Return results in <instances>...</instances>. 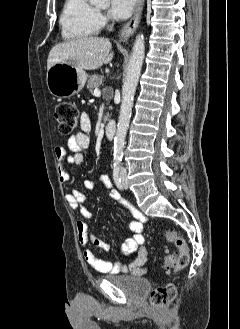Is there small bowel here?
<instances>
[{
  "label": "small bowel",
  "instance_id": "small-bowel-1",
  "mask_svg": "<svg viewBox=\"0 0 240 329\" xmlns=\"http://www.w3.org/2000/svg\"><path fill=\"white\" fill-rule=\"evenodd\" d=\"M91 119L87 113L81 115V130L69 137L67 140V148L70 150L68 155L64 146H56L54 153L58 160V177L61 183H67L69 181V174L65 168L68 164L82 165L85 161L84 151L90 145V133ZM98 181L107 188H112L111 180L107 175H100ZM95 184V180L88 179L84 182V187L87 190H91ZM109 198L121 206L129 209L133 216V220L129 223V229L132 232V236L125 240L119 254L122 257L132 258L130 262L124 261H107L98 258L93 252L91 245L102 249L104 251H111L112 246L105 243L101 239L97 238L89 229L87 221L91 218V212L86 208L85 202L87 197L81 191L73 190L66 195V200L69 206L78 210L81 214V218L77 220V233L80 244L83 247V257L85 261L96 271L100 273H130L134 276H142L146 273V263L148 260V250L144 243V236L142 234L143 224L145 217L130 203L121 197V195L111 190Z\"/></svg>",
  "mask_w": 240,
  "mask_h": 329
}]
</instances>
